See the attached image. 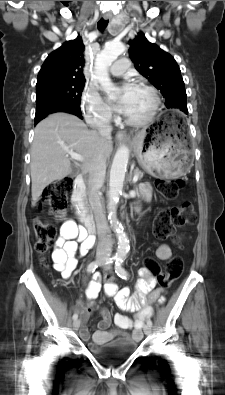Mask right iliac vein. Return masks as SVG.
<instances>
[{
  "mask_svg": "<svg viewBox=\"0 0 225 395\" xmlns=\"http://www.w3.org/2000/svg\"><path fill=\"white\" fill-rule=\"evenodd\" d=\"M102 261H103V257H98L97 258V262L101 263ZM79 327H80V320H78V319L74 320V322H73V329L74 330H78Z\"/></svg>",
  "mask_w": 225,
  "mask_h": 395,
  "instance_id": "63e3f726",
  "label": "right iliac vein"
}]
</instances>
